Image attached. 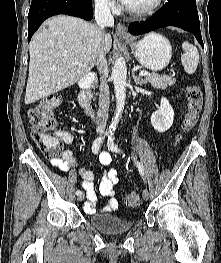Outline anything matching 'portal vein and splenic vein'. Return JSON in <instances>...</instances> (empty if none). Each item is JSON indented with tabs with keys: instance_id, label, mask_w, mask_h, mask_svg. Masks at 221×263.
<instances>
[{
	"instance_id": "18ae733b",
	"label": "portal vein and splenic vein",
	"mask_w": 221,
	"mask_h": 263,
	"mask_svg": "<svg viewBox=\"0 0 221 263\" xmlns=\"http://www.w3.org/2000/svg\"><path fill=\"white\" fill-rule=\"evenodd\" d=\"M73 65H77V66H82L83 64L81 63V62H78V61H72L71 62ZM139 75L140 76H147V75H152V74H150V73H148L147 71H141L140 73H139Z\"/></svg>"
}]
</instances>
